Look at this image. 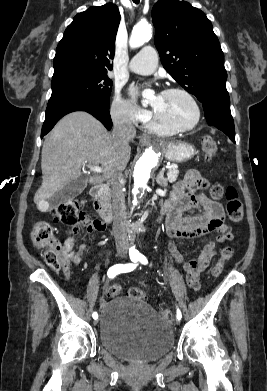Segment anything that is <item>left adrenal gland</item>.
<instances>
[{
	"label": "left adrenal gland",
	"mask_w": 267,
	"mask_h": 391,
	"mask_svg": "<svg viewBox=\"0 0 267 391\" xmlns=\"http://www.w3.org/2000/svg\"><path fill=\"white\" fill-rule=\"evenodd\" d=\"M164 171H165V168L163 167L162 170L159 172V174L156 177V182L159 186H166V184H167V181L164 178Z\"/></svg>",
	"instance_id": "obj_1"
}]
</instances>
